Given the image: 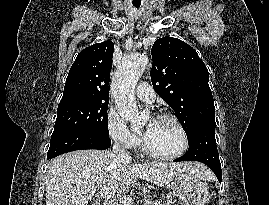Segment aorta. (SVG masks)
Listing matches in <instances>:
<instances>
[{
    "mask_svg": "<svg viewBox=\"0 0 269 205\" xmlns=\"http://www.w3.org/2000/svg\"><path fill=\"white\" fill-rule=\"evenodd\" d=\"M147 64L148 58L143 54L125 56L111 85L120 118L133 125L138 124L143 119L134 101V89Z\"/></svg>",
    "mask_w": 269,
    "mask_h": 205,
    "instance_id": "obj_1",
    "label": "aorta"
}]
</instances>
